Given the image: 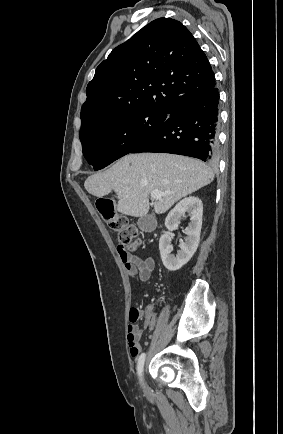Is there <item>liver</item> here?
<instances>
[{
  "label": "liver",
  "instance_id": "liver-1",
  "mask_svg": "<svg viewBox=\"0 0 283 434\" xmlns=\"http://www.w3.org/2000/svg\"><path fill=\"white\" fill-rule=\"evenodd\" d=\"M214 173L205 163L166 153L128 154L104 172L89 176L85 189L103 197L115 191L118 212L143 217L149 211V194L164 195L154 203V211L163 214L178 200L210 184Z\"/></svg>",
  "mask_w": 283,
  "mask_h": 434
}]
</instances>
